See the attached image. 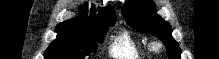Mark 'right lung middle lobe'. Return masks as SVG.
<instances>
[{
  "label": "right lung middle lobe",
  "instance_id": "obj_1",
  "mask_svg": "<svg viewBox=\"0 0 219 59\" xmlns=\"http://www.w3.org/2000/svg\"><path fill=\"white\" fill-rule=\"evenodd\" d=\"M84 28L59 24L57 38L47 48L45 59H85L97 50V42H103L109 26Z\"/></svg>",
  "mask_w": 219,
  "mask_h": 59
}]
</instances>
